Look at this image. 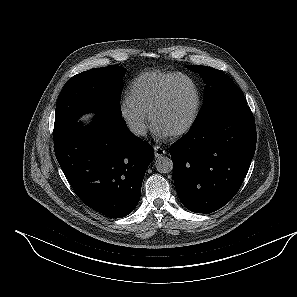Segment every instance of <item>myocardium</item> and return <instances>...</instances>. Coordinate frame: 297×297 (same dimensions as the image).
Returning a JSON list of instances; mask_svg holds the SVG:
<instances>
[{
    "label": "myocardium",
    "mask_w": 297,
    "mask_h": 297,
    "mask_svg": "<svg viewBox=\"0 0 297 297\" xmlns=\"http://www.w3.org/2000/svg\"><path fill=\"white\" fill-rule=\"evenodd\" d=\"M181 80H185L191 84V86L194 90V94H195V102H194L193 110H192V113H191L189 119L180 128H178L177 130L168 134L167 136L170 138H177V137H180V136L186 134L193 127V125L195 124V122L198 118L200 107H201V94H200V90L198 88L197 83L188 75L178 74L166 85V87L164 88L160 97L153 104V106L151 107L149 114H148L150 124L154 128L155 115L166 104V102L170 96L172 88L176 85L177 82H179Z\"/></svg>",
    "instance_id": "myocardium-1"
}]
</instances>
